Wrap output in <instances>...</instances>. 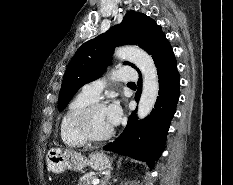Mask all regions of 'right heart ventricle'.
Returning <instances> with one entry per match:
<instances>
[{"label":"right heart ventricle","instance_id":"e07e8e85","mask_svg":"<svg viewBox=\"0 0 233 185\" xmlns=\"http://www.w3.org/2000/svg\"><path fill=\"white\" fill-rule=\"evenodd\" d=\"M92 101L82 94L77 95L68 104L60 122V136L63 143L68 147H81L86 141L79 135L76 120L84 107Z\"/></svg>","mask_w":233,"mask_h":185}]
</instances>
